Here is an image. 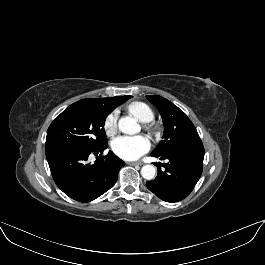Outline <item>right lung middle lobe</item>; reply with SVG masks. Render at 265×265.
<instances>
[{"instance_id":"right-lung-middle-lobe-1","label":"right lung middle lobe","mask_w":265,"mask_h":265,"mask_svg":"<svg viewBox=\"0 0 265 265\" xmlns=\"http://www.w3.org/2000/svg\"><path fill=\"white\" fill-rule=\"evenodd\" d=\"M110 112L111 109L85 99L71 104L49 126L46 145L75 144L89 149L107 145L104 123Z\"/></svg>"}]
</instances>
